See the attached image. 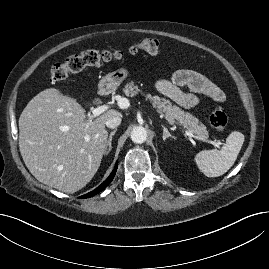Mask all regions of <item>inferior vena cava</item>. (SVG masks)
<instances>
[{
	"instance_id": "inferior-vena-cava-1",
	"label": "inferior vena cava",
	"mask_w": 269,
	"mask_h": 269,
	"mask_svg": "<svg viewBox=\"0 0 269 269\" xmlns=\"http://www.w3.org/2000/svg\"><path fill=\"white\" fill-rule=\"evenodd\" d=\"M120 124H121L120 116H113L106 121V126L111 129L118 127Z\"/></svg>"
}]
</instances>
